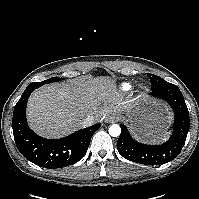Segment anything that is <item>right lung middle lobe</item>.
I'll return each instance as SVG.
<instances>
[{"instance_id":"dd1d6c3e","label":"right lung middle lobe","mask_w":199,"mask_h":199,"mask_svg":"<svg viewBox=\"0 0 199 199\" xmlns=\"http://www.w3.org/2000/svg\"><path fill=\"white\" fill-rule=\"evenodd\" d=\"M59 80H63V79L57 78V77H52V78H49V79L42 81V82L31 83L29 86L34 87V88H38V87L42 86L43 84H47V83H51V82H58Z\"/></svg>"}]
</instances>
